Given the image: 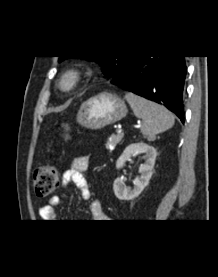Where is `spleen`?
Instances as JSON below:
<instances>
[{
	"label": "spleen",
	"instance_id": "3e777b00",
	"mask_svg": "<svg viewBox=\"0 0 218 277\" xmlns=\"http://www.w3.org/2000/svg\"><path fill=\"white\" fill-rule=\"evenodd\" d=\"M125 99L136 117L142 119L141 132L149 140L174 125L173 114L161 105L144 99L133 93H127Z\"/></svg>",
	"mask_w": 218,
	"mask_h": 277
}]
</instances>
